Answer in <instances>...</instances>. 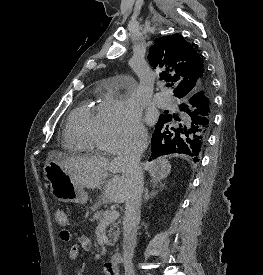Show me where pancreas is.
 Segmentation results:
<instances>
[{"label": "pancreas", "instance_id": "1", "mask_svg": "<svg viewBox=\"0 0 263 275\" xmlns=\"http://www.w3.org/2000/svg\"><path fill=\"white\" fill-rule=\"evenodd\" d=\"M97 209H98V204H95L91 207V210L94 212L93 219L96 220V221H101L102 218L104 217L105 213H107L109 211L108 210L98 211ZM119 234H120L119 222H115V221L111 222V225L108 229V236H109V239H110V241H109L110 245H113L117 242Z\"/></svg>", "mask_w": 263, "mask_h": 275}]
</instances>
